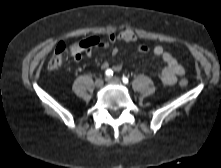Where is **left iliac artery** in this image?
I'll use <instances>...</instances> for the list:
<instances>
[{"instance_id":"obj_1","label":"left iliac artery","mask_w":221,"mask_h":168,"mask_svg":"<svg viewBox=\"0 0 221 168\" xmlns=\"http://www.w3.org/2000/svg\"><path fill=\"white\" fill-rule=\"evenodd\" d=\"M122 81L124 84H128V82H129L128 78L125 76L122 77Z\"/></svg>"}]
</instances>
